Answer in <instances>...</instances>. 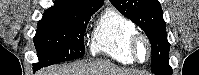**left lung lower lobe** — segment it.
Segmentation results:
<instances>
[{"instance_id":"obj_1","label":"left lung lower lobe","mask_w":199,"mask_h":75,"mask_svg":"<svg viewBox=\"0 0 199 75\" xmlns=\"http://www.w3.org/2000/svg\"><path fill=\"white\" fill-rule=\"evenodd\" d=\"M156 75H172V72H168V73H160V74H156Z\"/></svg>"}]
</instances>
